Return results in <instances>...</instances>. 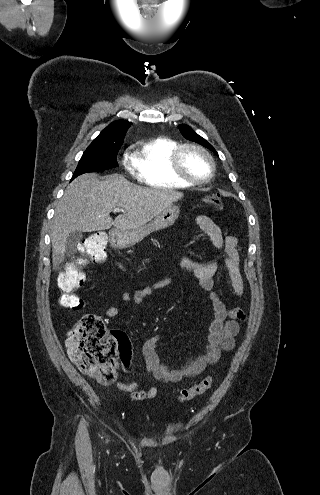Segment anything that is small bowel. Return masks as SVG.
<instances>
[{
  "label": "small bowel",
  "instance_id": "1",
  "mask_svg": "<svg viewBox=\"0 0 320 495\" xmlns=\"http://www.w3.org/2000/svg\"><path fill=\"white\" fill-rule=\"evenodd\" d=\"M195 222L209 236L213 247L218 252L223 253V265L228 270L232 288L235 294L241 298L245 286L240 272V248L237 238L229 234L227 229H222L208 216L199 215ZM179 267L182 271L192 275L200 287L209 293L213 313L203 353L195 359L189 360L179 369H171L160 362L156 348L161 341V335L155 334L145 342L142 350L145 370L151 373L155 379L166 383H175L196 376L202 373L208 365L218 362L222 351H228L234 347L235 337L240 331V324L245 319V314L241 309H228L214 289V276L219 267L217 257L206 263L197 259L184 258ZM168 282L169 278H166L161 283L148 285L133 293L124 292L121 300L141 305L146 298L152 296ZM106 315L109 318H117L119 310L116 307H110L107 309ZM124 364L127 365L128 363ZM116 385L118 389L127 392H134L139 387L136 382L124 383L119 381ZM156 393L157 388L151 387L146 391V397H154Z\"/></svg>",
  "mask_w": 320,
  "mask_h": 495
}]
</instances>
